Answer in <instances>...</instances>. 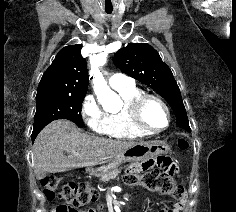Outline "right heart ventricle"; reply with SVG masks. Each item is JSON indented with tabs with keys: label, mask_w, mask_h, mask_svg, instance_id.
<instances>
[{
	"label": "right heart ventricle",
	"mask_w": 236,
	"mask_h": 212,
	"mask_svg": "<svg viewBox=\"0 0 236 212\" xmlns=\"http://www.w3.org/2000/svg\"><path fill=\"white\" fill-rule=\"evenodd\" d=\"M115 90L123 100V107L118 112L106 114L105 135L115 139H136L150 135L136 128L130 118L129 103L141 91L135 84Z\"/></svg>",
	"instance_id": "1"
}]
</instances>
